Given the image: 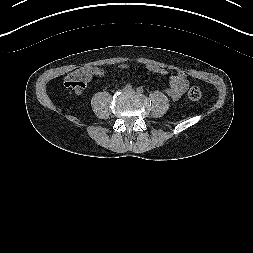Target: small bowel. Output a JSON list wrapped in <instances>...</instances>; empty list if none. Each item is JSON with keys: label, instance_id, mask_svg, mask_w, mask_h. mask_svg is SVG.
I'll use <instances>...</instances> for the list:
<instances>
[{"label": "small bowel", "instance_id": "small-bowel-1", "mask_svg": "<svg viewBox=\"0 0 253 253\" xmlns=\"http://www.w3.org/2000/svg\"><path fill=\"white\" fill-rule=\"evenodd\" d=\"M121 68H127V64H121ZM161 74H168L169 71L167 70H161ZM94 74L96 76L102 77L104 75V71L100 68L94 69ZM189 86V80L187 77V74L183 71H178L175 74L171 75L169 80V87L166 89L167 94L173 99L177 100L179 99L187 90ZM83 91H77V94H81Z\"/></svg>", "mask_w": 253, "mask_h": 253}]
</instances>
